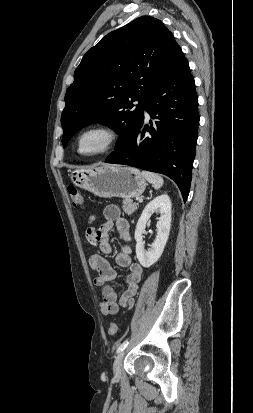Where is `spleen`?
Masks as SVG:
<instances>
[{
  "label": "spleen",
  "mask_w": 253,
  "mask_h": 413,
  "mask_svg": "<svg viewBox=\"0 0 253 413\" xmlns=\"http://www.w3.org/2000/svg\"><path fill=\"white\" fill-rule=\"evenodd\" d=\"M142 175L149 183L153 185L155 189H159L163 186L164 180L159 174L142 171Z\"/></svg>",
  "instance_id": "spleen-1"
}]
</instances>
